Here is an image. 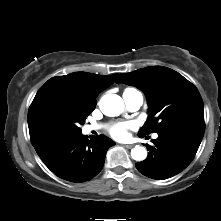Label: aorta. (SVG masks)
Listing matches in <instances>:
<instances>
[{
    "label": "aorta",
    "instance_id": "obj_1",
    "mask_svg": "<svg viewBox=\"0 0 221 221\" xmlns=\"http://www.w3.org/2000/svg\"><path fill=\"white\" fill-rule=\"evenodd\" d=\"M99 107L106 116H118L124 109V102L116 94H106L101 98ZM131 157L136 161H143L147 157V151L144 147L137 145L131 150Z\"/></svg>",
    "mask_w": 221,
    "mask_h": 221
}]
</instances>
